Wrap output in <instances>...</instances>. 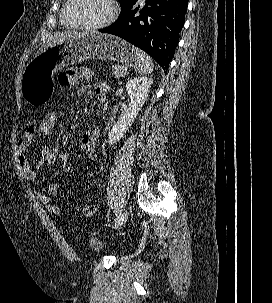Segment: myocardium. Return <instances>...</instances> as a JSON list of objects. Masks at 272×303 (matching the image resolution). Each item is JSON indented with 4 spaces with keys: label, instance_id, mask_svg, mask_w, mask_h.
Segmentation results:
<instances>
[{
    "label": "myocardium",
    "instance_id": "obj_1",
    "mask_svg": "<svg viewBox=\"0 0 272 303\" xmlns=\"http://www.w3.org/2000/svg\"><path fill=\"white\" fill-rule=\"evenodd\" d=\"M72 2H73V0L66 1L65 5L63 7V11H62V18L69 27L75 28V29L99 30V29L106 28L113 23V21L117 17L118 11H119L117 1L108 0V3L110 5V12H109L108 17L104 21L97 23V24H79V23H75V22L71 21L68 17V9Z\"/></svg>",
    "mask_w": 272,
    "mask_h": 303
}]
</instances>
